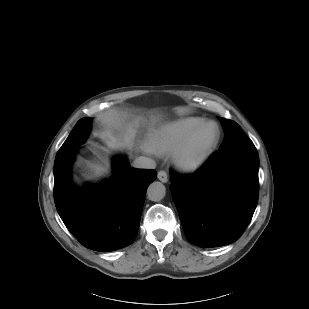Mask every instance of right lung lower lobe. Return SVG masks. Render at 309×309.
I'll return each mask as SVG.
<instances>
[{
  "label": "right lung lower lobe",
  "instance_id": "98d812e1",
  "mask_svg": "<svg viewBox=\"0 0 309 309\" xmlns=\"http://www.w3.org/2000/svg\"><path fill=\"white\" fill-rule=\"evenodd\" d=\"M76 149L54 163V200L71 234L95 251H114L133 243L154 170L130 168L124 158L114 162V176L102 185L77 190L70 166Z\"/></svg>",
  "mask_w": 309,
  "mask_h": 309
}]
</instances>
